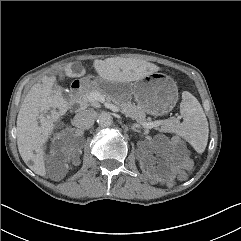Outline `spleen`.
<instances>
[{
	"label": "spleen",
	"instance_id": "3e777b00",
	"mask_svg": "<svg viewBox=\"0 0 241 241\" xmlns=\"http://www.w3.org/2000/svg\"><path fill=\"white\" fill-rule=\"evenodd\" d=\"M180 112L183 122L172 132L188 141L198 153H203L208 141V121L199 101L189 92L182 93Z\"/></svg>",
	"mask_w": 241,
	"mask_h": 241
}]
</instances>
